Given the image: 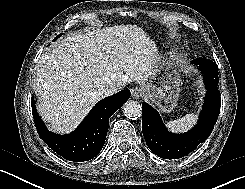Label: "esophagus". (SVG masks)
<instances>
[{
    "label": "esophagus",
    "mask_w": 245,
    "mask_h": 189,
    "mask_svg": "<svg viewBox=\"0 0 245 189\" xmlns=\"http://www.w3.org/2000/svg\"><path fill=\"white\" fill-rule=\"evenodd\" d=\"M143 94V91L139 87H135L131 90V96L133 99H139V97Z\"/></svg>",
    "instance_id": "esophagus-1"
}]
</instances>
